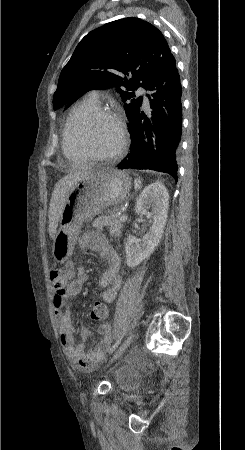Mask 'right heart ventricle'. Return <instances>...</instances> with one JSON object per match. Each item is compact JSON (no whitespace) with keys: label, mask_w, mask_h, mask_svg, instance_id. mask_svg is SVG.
I'll return each mask as SVG.
<instances>
[{"label":"right heart ventricle","mask_w":245,"mask_h":450,"mask_svg":"<svg viewBox=\"0 0 245 450\" xmlns=\"http://www.w3.org/2000/svg\"><path fill=\"white\" fill-rule=\"evenodd\" d=\"M98 108V102L89 97H85L71 108L62 139V150L68 159L75 162H86L88 160V157L74 145L71 128L73 122L81 120Z\"/></svg>","instance_id":"e07e8e85"}]
</instances>
